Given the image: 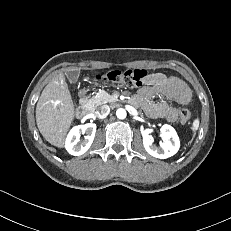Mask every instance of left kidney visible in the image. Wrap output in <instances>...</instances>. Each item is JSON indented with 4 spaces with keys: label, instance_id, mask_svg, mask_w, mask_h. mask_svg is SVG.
I'll return each instance as SVG.
<instances>
[{
    "label": "left kidney",
    "instance_id": "5707ae66",
    "mask_svg": "<svg viewBox=\"0 0 231 231\" xmlns=\"http://www.w3.org/2000/svg\"><path fill=\"white\" fill-rule=\"evenodd\" d=\"M151 130L147 129L142 133L143 145L145 150L153 157L159 159H166L177 153L180 147L179 137L173 127L170 125H163L160 133L164 142L158 148L153 144V137L149 134Z\"/></svg>",
    "mask_w": 231,
    "mask_h": 231
}]
</instances>
